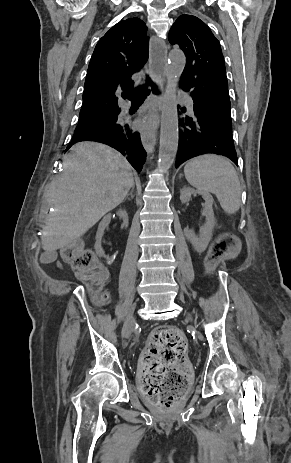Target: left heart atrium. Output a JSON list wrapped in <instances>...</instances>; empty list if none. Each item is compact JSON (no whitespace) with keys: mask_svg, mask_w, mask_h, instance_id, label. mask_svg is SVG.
Segmentation results:
<instances>
[{"mask_svg":"<svg viewBox=\"0 0 291 463\" xmlns=\"http://www.w3.org/2000/svg\"><path fill=\"white\" fill-rule=\"evenodd\" d=\"M155 124H156V121L154 117L152 116H149V117H146V118H143L137 121V127L144 132L150 131L151 129H153L155 127Z\"/></svg>","mask_w":291,"mask_h":463,"instance_id":"39dd6f15","label":"left heart atrium"}]
</instances>
